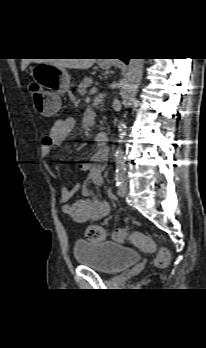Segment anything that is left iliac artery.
I'll return each instance as SVG.
<instances>
[{
    "instance_id": "1",
    "label": "left iliac artery",
    "mask_w": 206,
    "mask_h": 348,
    "mask_svg": "<svg viewBox=\"0 0 206 348\" xmlns=\"http://www.w3.org/2000/svg\"><path fill=\"white\" fill-rule=\"evenodd\" d=\"M116 186H120L125 181V170L122 167H118L115 173Z\"/></svg>"
}]
</instances>
